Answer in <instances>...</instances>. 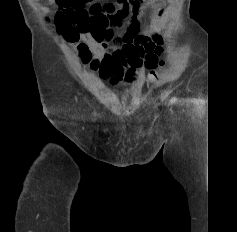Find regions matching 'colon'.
Listing matches in <instances>:
<instances>
[{"label":"colon","mask_w":237,"mask_h":232,"mask_svg":"<svg viewBox=\"0 0 237 232\" xmlns=\"http://www.w3.org/2000/svg\"><path fill=\"white\" fill-rule=\"evenodd\" d=\"M57 8L54 24L65 37L73 38L86 33H100L109 17H125L136 11L146 0H117L101 4L92 0H51ZM163 66L164 63L161 62ZM152 82L158 83L157 71L149 74Z\"/></svg>","instance_id":"5ec220e1"}]
</instances>
